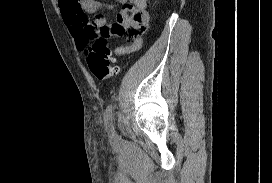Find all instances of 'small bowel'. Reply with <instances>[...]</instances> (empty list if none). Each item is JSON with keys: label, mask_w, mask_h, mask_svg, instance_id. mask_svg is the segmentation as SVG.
Listing matches in <instances>:
<instances>
[{"label": "small bowel", "mask_w": 272, "mask_h": 183, "mask_svg": "<svg viewBox=\"0 0 272 183\" xmlns=\"http://www.w3.org/2000/svg\"><path fill=\"white\" fill-rule=\"evenodd\" d=\"M116 1L123 5V9L114 21L117 25H109L104 16L97 15L93 19L88 18V14H94L104 7L96 0H58L64 22L78 49H85L97 37L105 39L107 36L108 39H118V43H125V38L131 39L134 36L131 45L116 50L118 54L134 52L141 48V35L146 31L149 22L147 0Z\"/></svg>", "instance_id": "c3829d8e"}]
</instances>
